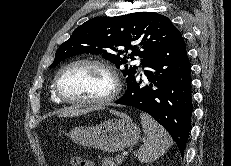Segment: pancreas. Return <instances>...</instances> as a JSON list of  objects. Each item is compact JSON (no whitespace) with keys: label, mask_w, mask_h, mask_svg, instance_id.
Returning <instances> with one entry per match:
<instances>
[{"label":"pancreas","mask_w":231,"mask_h":166,"mask_svg":"<svg viewBox=\"0 0 231 166\" xmlns=\"http://www.w3.org/2000/svg\"><path fill=\"white\" fill-rule=\"evenodd\" d=\"M123 161V158H119V156H116L115 159L111 157H105L102 160V166H118Z\"/></svg>","instance_id":"obj_1"}]
</instances>
